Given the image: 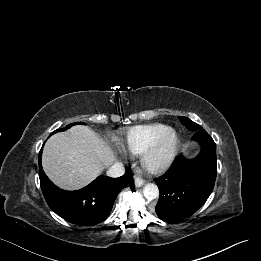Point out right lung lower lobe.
I'll return each instance as SVG.
<instances>
[{"label": "right lung lower lobe", "mask_w": 261, "mask_h": 261, "mask_svg": "<svg viewBox=\"0 0 261 261\" xmlns=\"http://www.w3.org/2000/svg\"><path fill=\"white\" fill-rule=\"evenodd\" d=\"M39 153V178L41 189L49 207L68 222L81 226L95 225L107 218L119 192L129 181L128 175L119 178L99 176L83 189L64 191L46 176Z\"/></svg>", "instance_id": "right-lung-lower-lobe-1"}]
</instances>
